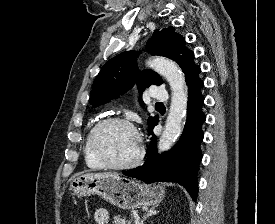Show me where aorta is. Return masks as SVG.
<instances>
[{
	"mask_svg": "<svg viewBox=\"0 0 275 224\" xmlns=\"http://www.w3.org/2000/svg\"><path fill=\"white\" fill-rule=\"evenodd\" d=\"M148 65L168 81L172 91L169 114L158 145L162 152L168 150L182 132L187 111V87L183 72L173 61L156 57L149 60Z\"/></svg>",
	"mask_w": 275,
	"mask_h": 224,
	"instance_id": "1",
	"label": "aorta"
}]
</instances>
